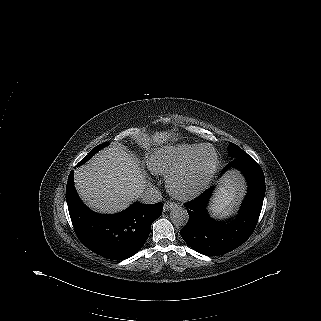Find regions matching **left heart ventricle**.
<instances>
[{
	"label": "left heart ventricle",
	"instance_id": "1",
	"mask_svg": "<svg viewBox=\"0 0 321 321\" xmlns=\"http://www.w3.org/2000/svg\"><path fill=\"white\" fill-rule=\"evenodd\" d=\"M213 162L214 156L212 150L209 148L201 150L192 171L176 181V189L186 192L201 185L210 172Z\"/></svg>",
	"mask_w": 321,
	"mask_h": 321
}]
</instances>
